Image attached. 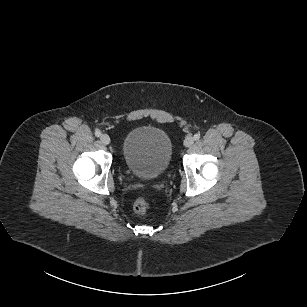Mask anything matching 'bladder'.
I'll return each mask as SVG.
<instances>
[{
  "instance_id": "31cf9c89",
  "label": "bladder",
  "mask_w": 307,
  "mask_h": 307,
  "mask_svg": "<svg viewBox=\"0 0 307 307\" xmlns=\"http://www.w3.org/2000/svg\"><path fill=\"white\" fill-rule=\"evenodd\" d=\"M122 156L132 175L153 180L167 170L172 157V142L169 135L160 128L139 126L125 136Z\"/></svg>"
}]
</instances>
